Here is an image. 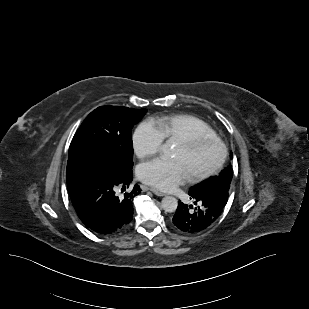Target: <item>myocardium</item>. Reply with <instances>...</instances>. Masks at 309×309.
<instances>
[{
	"label": "myocardium",
	"mask_w": 309,
	"mask_h": 309,
	"mask_svg": "<svg viewBox=\"0 0 309 309\" xmlns=\"http://www.w3.org/2000/svg\"><path fill=\"white\" fill-rule=\"evenodd\" d=\"M179 143L191 151L196 150L206 144H214L219 149V155L215 165L206 172L190 176L191 181L201 182L207 180L216 175L221 170L227 156V147L225 143L217 136L195 135L179 140Z\"/></svg>",
	"instance_id": "obj_1"
}]
</instances>
